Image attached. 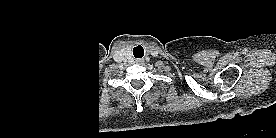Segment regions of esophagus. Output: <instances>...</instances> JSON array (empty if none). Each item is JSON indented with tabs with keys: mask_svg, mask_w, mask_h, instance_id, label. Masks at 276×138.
Here are the masks:
<instances>
[{
	"mask_svg": "<svg viewBox=\"0 0 276 138\" xmlns=\"http://www.w3.org/2000/svg\"><path fill=\"white\" fill-rule=\"evenodd\" d=\"M143 62H144V61L141 60V59L136 60V63H138V64H142Z\"/></svg>",
	"mask_w": 276,
	"mask_h": 138,
	"instance_id": "esophagus-1",
	"label": "esophagus"
}]
</instances>
